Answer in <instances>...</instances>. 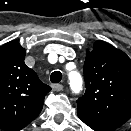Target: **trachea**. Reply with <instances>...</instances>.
Here are the masks:
<instances>
[{"label": "trachea", "mask_w": 131, "mask_h": 131, "mask_svg": "<svg viewBox=\"0 0 131 131\" xmlns=\"http://www.w3.org/2000/svg\"><path fill=\"white\" fill-rule=\"evenodd\" d=\"M61 79L62 73L60 71H54L50 76V80L52 83H59Z\"/></svg>", "instance_id": "obj_1"}]
</instances>
